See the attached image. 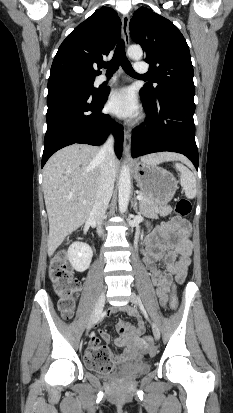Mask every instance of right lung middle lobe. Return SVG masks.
<instances>
[{
	"instance_id": "obj_1",
	"label": "right lung middle lobe",
	"mask_w": 233,
	"mask_h": 413,
	"mask_svg": "<svg viewBox=\"0 0 233 413\" xmlns=\"http://www.w3.org/2000/svg\"><path fill=\"white\" fill-rule=\"evenodd\" d=\"M94 78L64 77L48 81V89L58 86H74L83 89L91 95H99L100 92L93 87Z\"/></svg>"
}]
</instances>
